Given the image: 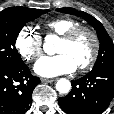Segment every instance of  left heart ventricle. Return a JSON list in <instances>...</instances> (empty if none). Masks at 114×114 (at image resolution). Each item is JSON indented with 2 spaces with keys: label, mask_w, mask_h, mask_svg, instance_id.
I'll list each match as a JSON object with an SVG mask.
<instances>
[{
  "label": "left heart ventricle",
  "mask_w": 114,
  "mask_h": 114,
  "mask_svg": "<svg viewBox=\"0 0 114 114\" xmlns=\"http://www.w3.org/2000/svg\"><path fill=\"white\" fill-rule=\"evenodd\" d=\"M93 43L89 35L81 34L73 42L59 41L56 52L68 54L77 66L84 63L90 56Z\"/></svg>",
  "instance_id": "b2bd125f"
}]
</instances>
